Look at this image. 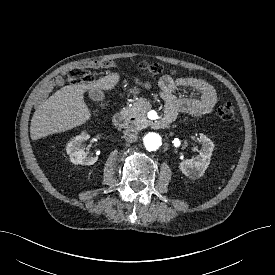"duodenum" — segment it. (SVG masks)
<instances>
[{"label": "duodenum", "mask_w": 275, "mask_h": 275, "mask_svg": "<svg viewBox=\"0 0 275 275\" xmlns=\"http://www.w3.org/2000/svg\"><path fill=\"white\" fill-rule=\"evenodd\" d=\"M170 119L168 117H164L160 120H158L155 125L158 127H165L169 123ZM129 123V119L127 115L121 111L118 112L114 117H113V124L117 128H123Z\"/></svg>", "instance_id": "410a0bca"}]
</instances>
